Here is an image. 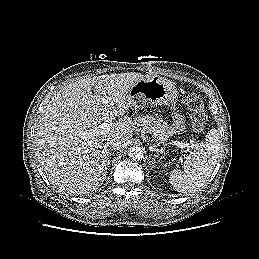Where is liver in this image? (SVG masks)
Listing matches in <instances>:
<instances>
[{
	"label": "liver",
	"instance_id": "1",
	"mask_svg": "<svg viewBox=\"0 0 259 259\" xmlns=\"http://www.w3.org/2000/svg\"><path fill=\"white\" fill-rule=\"evenodd\" d=\"M144 76L136 72L83 78L57 92L37 125L34 145L39 163L52 184L73 194H87L104 182L112 139L126 147L134 130L120 119L108 132L85 133L123 116L130 108L128 90ZM94 90V94L92 93Z\"/></svg>",
	"mask_w": 259,
	"mask_h": 259
}]
</instances>
